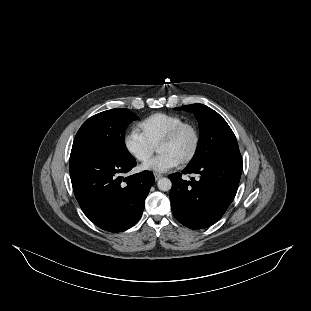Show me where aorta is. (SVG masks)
<instances>
[{"label":"aorta","mask_w":311,"mask_h":311,"mask_svg":"<svg viewBox=\"0 0 311 311\" xmlns=\"http://www.w3.org/2000/svg\"><path fill=\"white\" fill-rule=\"evenodd\" d=\"M157 186L161 191H169L172 187V182L169 178H160L157 182Z\"/></svg>","instance_id":"obj_1"}]
</instances>
